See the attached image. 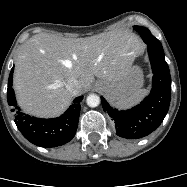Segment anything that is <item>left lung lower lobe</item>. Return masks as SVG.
Instances as JSON below:
<instances>
[{"mask_svg":"<svg viewBox=\"0 0 187 187\" xmlns=\"http://www.w3.org/2000/svg\"><path fill=\"white\" fill-rule=\"evenodd\" d=\"M147 39L148 54L153 71L150 94L136 107L126 111L113 109L101 97L102 107L115 124L116 134L126 139H139L149 135L163 122L171 101V76L161 45Z\"/></svg>","mask_w":187,"mask_h":187,"instance_id":"0a47b994","label":"left lung lower lobe"}]
</instances>
